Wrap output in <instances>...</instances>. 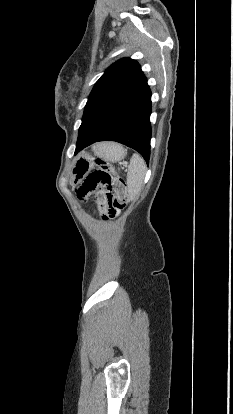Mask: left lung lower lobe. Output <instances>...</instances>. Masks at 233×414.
<instances>
[{
  "label": "left lung lower lobe",
  "mask_w": 233,
  "mask_h": 414,
  "mask_svg": "<svg viewBox=\"0 0 233 414\" xmlns=\"http://www.w3.org/2000/svg\"><path fill=\"white\" fill-rule=\"evenodd\" d=\"M151 91L144 76L124 90L84 109L75 154L98 141H116L138 151L149 162Z\"/></svg>",
  "instance_id": "1"
}]
</instances>
